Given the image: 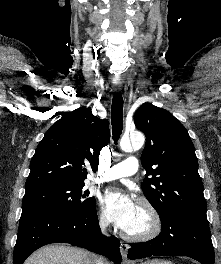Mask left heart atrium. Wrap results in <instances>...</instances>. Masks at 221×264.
Segmentation results:
<instances>
[{
	"label": "left heart atrium",
	"instance_id": "1",
	"mask_svg": "<svg viewBox=\"0 0 221 264\" xmlns=\"http://www.w3.org/2000/svg\"><path fill=\"white\" fill-rule=\"evenodd\" d=\"M101 205L107 219L126 230L135 218L138 206L126 193L108 191L101 198Z\"/></svg>",
	"mask_w": 221,
	"mask_h": 264
}]
</instances>
